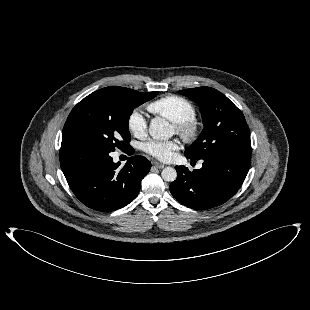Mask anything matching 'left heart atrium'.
Returning <instances> with one entry per match:
<instances>
[{"mask_svg": "<svg viewBox=\"0 0 310 310\" xmlns=\"http://www.w3.org/2000/svg\"><path fill=\"white\" fill-rule=\"evenodd\" d=\"M178 149L179 144L176 140H150L143 146L147 154L161 161H170Z\"/></svg>", "mask_w": 310, "mask_h": 310, "instance_id": "obj_1", "label": "left heart atrium"}]
</instances>
